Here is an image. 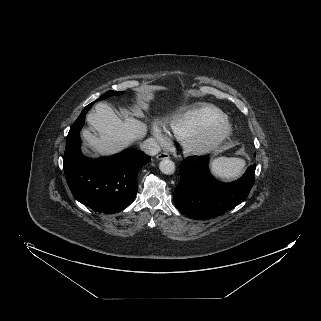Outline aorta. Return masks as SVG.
Returning <instances> with one entry per match:
<instances>
[{
	"instance_id": "obj_1",
	"label": "aorta",
	"mask_w": 321,
	"mask_h": 321,
	"mask_svg": "<svg viewBox=\"0 0 321 321\" xmlns=\"http://www.w3.org/2000/svg\"><path fill=\"white\" fill-rule=\"evenodd\" d=\"M159 169L162 173L166 175H171L175 172V164L172 160L164 158L159 163Z\"/></svg>"
}]
</instances>
